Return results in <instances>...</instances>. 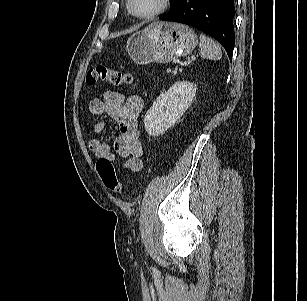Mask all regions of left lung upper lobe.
<instances>
[{
  "instance_id": "obj_1",
  "label": "left lung upper lobe",
  "mask_w": 307,
  "mask_h": 301,
  "mask_svg": "<svg viewBox=\"0 0 307 301\" xmlns=\"http://www.w3.org/2000/svg\"><path fill=\"white\" fill-rule=\"evenodd\" d=\"M180 1H181V0H170V5H171V7H170V10H169L168 12L172 11V10L178 5V3H179Z\"/></svg>"
}]
</instances>
